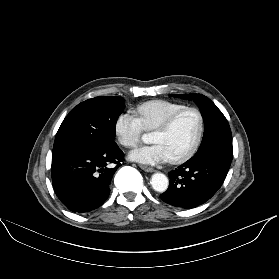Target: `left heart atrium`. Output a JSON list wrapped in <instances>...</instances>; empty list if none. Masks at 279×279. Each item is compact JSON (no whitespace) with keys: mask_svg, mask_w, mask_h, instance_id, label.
I'll return each instance as SVG.
<instances>
[{"mask_svg":"<svg viewBox=\"0 0 279 279\" xmlns=\"http://www.w3.org/2000/svg\"><path fill=\"white\" fill-rule=\"evenodd\" d=\"M129 156L132 160L145 164H155L170 159L168 152L160 143L139 147L133 150Z\"/></svg>","mask_w":279,"mask_h":279,"instance_id":"obj_1","label":"left heart atrium"}]
</instances>
